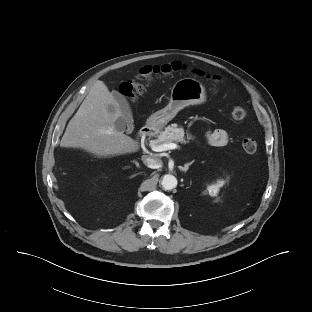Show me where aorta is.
<instances>
[{
  "label": "aorta",
  "mask_w": 312,
  "mask_h": 312,
  "mask_svg": "<svg viewBox=\"0 0 312 312\" xmlns=\"http://www.w3.org/2000/svg\"><path fill=\"white\" fill-rule=\"evenodd\" d=\"M161 184L163 189L171 190L177 186V179L171 174H166L163 176Z\"/></svg>",
  "instance_id": "1"
}]
</instances>
